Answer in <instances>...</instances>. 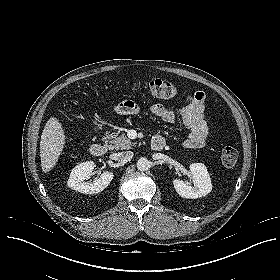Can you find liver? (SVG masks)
Segmentation results:
<instances>
[{"label":"liver","instance_id":"1","mask_svg":"<svg viewBox=\"0 0 280 280\" xmlns=\"http://www.w3.org/2000/svg\"><path fill=\"white\" fill-rule=\"evenodd\" d=\"M65 135L61 123L55 117L48 119L41 135L40 157L42 171L52 170L64 148Z\"/></svg>","mask_w":280,"mask_h":280}]
</instances>
